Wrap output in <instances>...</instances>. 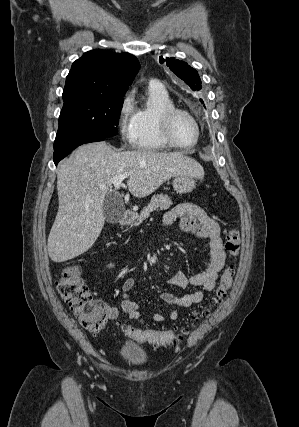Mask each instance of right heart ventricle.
Listing matches in <instances>:
<instances>
[{
  "instance_id": "obj_1",
  "label": "right heart ventricle",
  "mask_w": 299,
  "mask_h": 427,
  "mask_svg": "<svg viewBox=\"0 0 299 427\" xmlns=\"http://www.w3.org/2000/svg\"><path fill=\"white\" fill-rule=\"evenodd\" d=\"M174 105L173 99L165 89L149 86L146 101L135 108L134 147L141 150L161 151L169 147L159 130V113Z\"/></svg>"
}]
</instances>
